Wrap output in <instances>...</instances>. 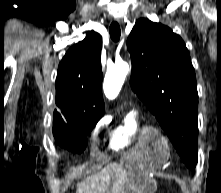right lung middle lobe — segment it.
<instances>
[{
    "mask_svg": "<svg viewBox=\"0 0 221 193\" xmlns=\"http://www.w3.org/2000/svg\"><path fill=\"white\" fill-rule=\"evenodd\" d=\"M101 117L91 115L70 120L54 118L53 134L56 142L65 149L81 153L87 145L85 135L94 128Z\"/></svg>",
    "mask_w": 221,
    "mask_h": 193,
    "instance_id": "right-lung-middle-lobe-1",
    "label": "right lung middle lobe"
}]
</instances>
